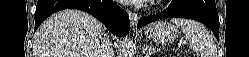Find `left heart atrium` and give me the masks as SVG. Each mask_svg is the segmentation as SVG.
<instances>
[{"mask_svg":"<svg viewBox=\"0 0 249 57\" xmlns=\"http://www.w3.org/2000/svg\"><path fill=\"white\" fill-rule=\"evenodd\" d=\"M151 0H132L133 3H142V2H149Z\"/></svg>","mask_w":249,"mask_h":57,"instance_id":"39dd6f15","label":"left heart atrium"}]
</instances>
